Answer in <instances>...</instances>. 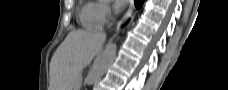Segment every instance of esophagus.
Here are the masks:
<instances>
[{
	"mask_svg": "<svg viewBox=\"0 0 228 90\" xmlns=\"http://www.w3.org/2000/svg\"><path fill=\"white\" fill-rule=\"evenodd\" d=\"M134 11V3L133 0L130 2L129 8L126 12V14L124 15L123 19L120 21V23L117 25V29L120 27V25L122 23H124L129 17H131V15L133 14Z\"/></svg>",
	"mask_w": 228,
	"mask_h": 90,
	"instance_id": "1",
	"label": "esophagus"
}]
</instances>
